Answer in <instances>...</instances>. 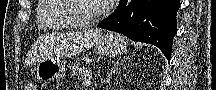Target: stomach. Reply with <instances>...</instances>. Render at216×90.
<instances>
[{"label": "stomach", "instance_id": "stomach-1", "mask_svg": "<svg viewBox=\"0 0 216 90\" xmlns=\"http://www.w3.org/2000/svg\"><path fill=\"white\" fill-rule=\"evenodd\" d=\"M124 38L116 33H106L95 43V51L100 55L114 57L126 51ZM66 69L61 61L46 60L36 69V76L41 81H54L65 76Z\"/></svg>", "mask_w": 216, "mask_h": 90}]
</instances>
